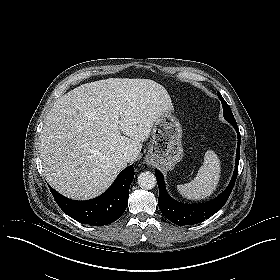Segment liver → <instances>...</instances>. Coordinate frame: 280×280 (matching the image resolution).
Listing matches in <instances>:
<instances>
[{"instance_id":"1","label":"liver","mask_w":280,"mask_h":280,"mask_svg":"<svg viewBox=\"0 0 280 280\" xmlns=\"http://www.w3.org/2000/svg\"><path fill=\"white\" fill-rule=\"evenodd\" d=\"M172 110L166 89L150 79L109 78L69 91L41 132L47 182L72 199L99 196L127 166L122 155L138 158L154 123Z\"/></svg>"}]
</instances>
